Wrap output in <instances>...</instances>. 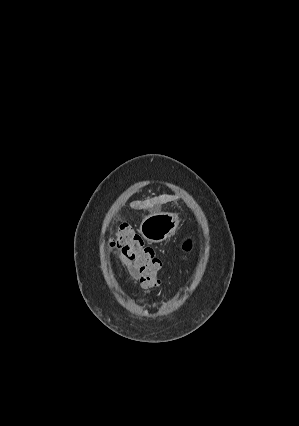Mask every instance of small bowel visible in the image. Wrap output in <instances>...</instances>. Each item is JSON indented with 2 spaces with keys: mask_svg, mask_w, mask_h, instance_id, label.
<instances>
[{
  "mask_svg": "<svg viewBox=\"0 0 299 426\" xmlns=\"http://www.w3.org/2000/svg\"><path fill=\"white\" fill-rule=\"evenodd\" d=\"M112 266L118 271L120 276L128 277L139 282L140 272L138 267L133 263L132 260L121 253V251H118L114 254Z\"/></svg>",
  "mask_w": 299,
  "mask_h": 426,
  "instance_id": "c3829d8e",
  "label": "small bowel"
}]
</instances>
